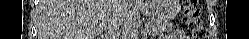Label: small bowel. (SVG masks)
I'll list each match as a JSON object with an SVG mask.
<instances>
[{
	"mask_svg": "<svg viewBox=\"0 0 249 39\" xmlns=\"http://www.w3.org/2000/svg\"><path fill=\"white\" fill-rule=\"evenodd\" d=\"M172 36H173L174 38L180 39V38H183V37H184V34H183L182 32H180V31H175V32L172 33Z\"/></svg>",
	"mask_w": 249,
	"mask_h": 39,
	"instance_id": "1",
	"label": "small bowel"
}]
</instances>
